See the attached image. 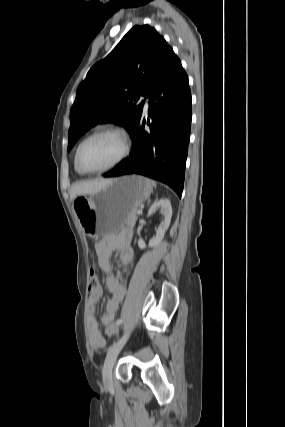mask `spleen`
Returning a JSON list of instances; mask_svg holds the SVG:
<instances>
[{"instance_id": "1", "label": "spleen", "mask_w": 285, "mask_h": 427, "mask_svg": "<svg viewBox=\"0 0 285 427\" xmlns=\"http://www.w3.org/2000/svg\"><path fill=\"white\" fill-rule=\"evenodd\" d=\"M151 183L154 187H156V183L154 181H151Z\"/></svg>"}]
</instances>
